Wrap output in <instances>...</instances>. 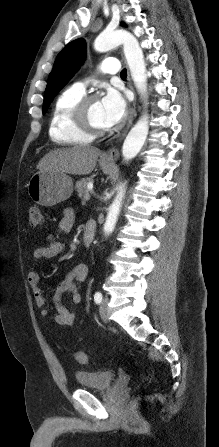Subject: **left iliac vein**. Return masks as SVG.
<instances>
[{
  "instance_id": "1",
  "label": "left iliac vein",
  "mask_w": 219,
  "mask_h": 447,
  "mask_svg": "<svg viewBox=\"0 0 219 447\" xmlns=\"http://www.w3.org/2000/svg\"><path fill=\"white\" fill-rule=\"evenodd\" d=\"M100 317L103 322L109 321V307H108V299H103L100 304Z\"/></svg>"
}]
</instances>
